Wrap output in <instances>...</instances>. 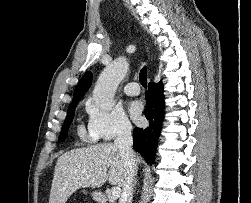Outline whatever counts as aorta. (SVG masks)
<instances>
[{
	"mask_svg": "<svg viewBox=\"0 0 251 203\" xmlns=\"http://www.w3.org/2000/svg\"><path fill=\"white\" fill-rule=\"evenodd\" d=\"M128 69L127 61L118 58L102 71L93 91L94 100L98 107L106 111L113 108L116 89L127 74Z\"/></svg>",
	"mask_w": 251,
	"mask_h": 203,
	"instance_id": "1",
	"label": "aorta"
}]
</instances>
